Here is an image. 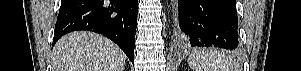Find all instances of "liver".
I'll return each mask as SVG.
<instances>
[{
    "instance_id": "obj_1",
    "label": "liver",
    "mask_w": 301,
    "mask_h": 71,
    "mask_svg": "<svg viewBox=\"0 0 301 71\" xmlns=\"http://www.w3.org/2000/svg\"><path fill=\"white\" fill-rule=\"evenodd\" d=\"M125 60L111 40L85 31L63 36L52 51L53 71H123Z\"/></svg>"
}]
</instances>
